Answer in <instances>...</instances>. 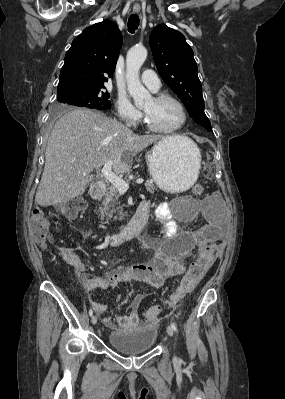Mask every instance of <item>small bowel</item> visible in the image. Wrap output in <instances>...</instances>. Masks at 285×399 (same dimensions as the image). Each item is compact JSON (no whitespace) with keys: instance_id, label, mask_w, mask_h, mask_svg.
<instances>
[{"instance_id":"c3829d8e","label":"small bowel","mask_w":285,"mask_h":399,"mask_svg":"<svg viewBox=\"0 0 285 399\" xmlns=\"http://www.w3.org/2000/svg\"><path fill=\"white\" fill-rule=\"evenodd\" d=\"M151 204L150 199H144L139 205H145L149 214ZM217 205L218 200L213 196H208L201 200L199 205L190 208L186 217L178 219L172 213L168 202H158L154 207V217L160 226L161 235L151 242L153 258L150 264L125 267L109 276L94 280L84 277L83 283L86 291L91 294L97 287L108 288L121 284H143L160 288L168 279L183 278L187 269L186 260L193 251L199 260L203 257L207 247H216L220 244V225L223 217ZM197 215L204 217L206 222L203 227L198 229L180 227V222H193ZM67 217L69 218V216ZM61 250L65 254L68 252L67 247H61ZM66 258L78 269L83 268V263L77 255L69 253ZM189 293L190 289L179 295L177 289L170 296L169 306L177 305ZM141 298L142 295L133 296L128 312L115 317V319L108 314L109 306L107 304L92 302L91 306L108 328L116 331L130 330L139 326L136 306Z\"/></svg>"}]
</instances>
